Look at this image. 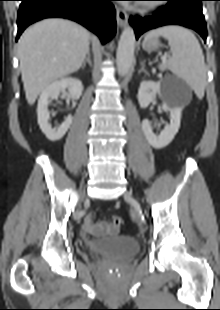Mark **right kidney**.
<instances>
[{"label": "right kidney", "instance_id": "1", "mask_svg": "<svg viewBox=\"0 0 220 310\" xmlns=\"http://www.w3.org/2000/svg\"><path fill=\"white\" fill-rule=\"evenodd\" d=\"M66 90L69 92V95L72 99L77 100L82 95V82L79 79L72 77H66L54 81L42 91L38 100V124L42 132L51 141L60 140L72 124L71 115H69L58 128H52L51 124L48 122L50 118V113L48 110V104L50 100L56 99L61 92H66Z\"/></svg>", "mask_w": 220, "mask_h": 310}]
</instances>
